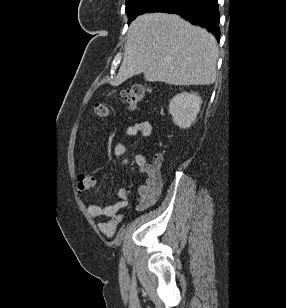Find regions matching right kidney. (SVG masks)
I'll list each match as a JSON object with an SVG mask.
<instances>
[{"label":"right kidney","instance_id":"obj_1","mask_svg":"<svg viewBox=\"0 0 286 308\" xmlns=\"http://www.w3.org/2000/svg\"><path fill=\"white\" fill-rule=\"evenodd\" d=\"M202 99L196 93L182 92L169 103V113L180 128H189L196 120Z\"/></svg>","mask_w":286,"mask_h":308}]
</instances>
